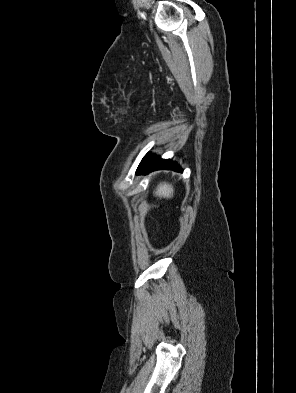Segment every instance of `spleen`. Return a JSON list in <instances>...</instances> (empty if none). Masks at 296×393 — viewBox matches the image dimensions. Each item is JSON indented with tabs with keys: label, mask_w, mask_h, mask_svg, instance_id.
Returning <instances> with one entry per match:
<instances>
[{
	"label": "spleen",
	"mask_w": 296,
	"mask_h": 393,
	"mask_svg": "<svg viewBox=\"0 0 296 393\" xmlns=\"http://www.w3.org/2000/svg\"><path fill=\"white\" fill-rule=\"evenodd\" d=\"M174 189L172 185L166 182L160 183L154 191L155 196H163L164 198H171L173 196Z\"/></svg>",
	"instance_id": "obj_1"
}]
</instances>
